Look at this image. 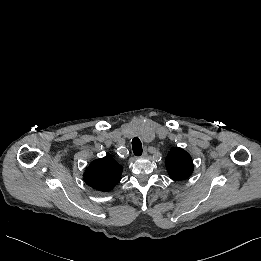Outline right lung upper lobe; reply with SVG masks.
Segmentation results:
<instances>
[{
    "instance_id": "right-lung-upper-lobe-1",
    "label": "right lung upper lobe",
    "mask_w": 261,
    "mask_h": 261,
    "mask_svg": "<svg viewBox=\"0 0 261 261\" xmlns=\"http://www.w3.org/2000/svg\"><path fill=\"white\" fill-rule=\"evenodd\" d=\"M123 167L111 156L94 160L85 170V182L99 191H110L121 180Z\"/></svg>"
}]
</instances>
